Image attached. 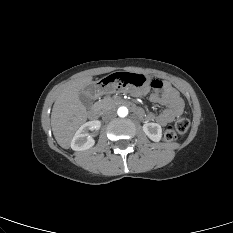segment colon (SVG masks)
Returning <instances> with one entry per match:
<instances>
[{"label":"colon","instance_id":"1","mask_svg":"<svg viewBox=\"0 0 233 233\" xmlns=\"http://www.w3.org/2000/svg\"><path fill=\"white\" fill-rule=\"evenodd\" d=\"M151 86L156 89H161L164 87V82L158 79L151 81ZM190 126V122L186 118L178 119L174 124L168 125L164 130V139L166 141H174L178 136L184 135Z\"/></svg>","mask_w":233,"mask_h":233}]
</instances>
